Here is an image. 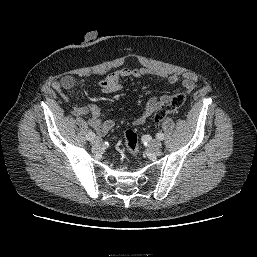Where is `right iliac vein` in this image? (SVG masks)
Instances as JSON below:
<instances>
[{
    "label": "right iliac vein",
    "mask_w": 257,
    "mask_h": 257,
    "mask_svg": "<svg viewBox=\"0 0 257 257\" xmlns=\"http://www.w3.org/2000/svg\"><path fill=\"white\" fill-rule=\"evenodd\" d=\"M92 144L94 146H100L101 145V139L100 138H95L93 141H92Z\"/></svg>",
    "instance_id": "right-iliac-vein-1"
}]
</instances>
